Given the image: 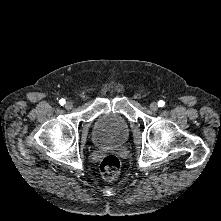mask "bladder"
<instances>
[{
  "label": "bladder",
  "instance_id": "bladder-1",
  "mask_svg": "<svg viewBox=\"0 0 221 221\" xmlns=\"http://www.w3.org/2000/svg\"><path fill=\"white\" fill-rule=\"evenodd\" d=\"M130 134L128 123L115 115H103L94 124L92 138L98 146L124 143Z\"/></svg>",
  "mask_w": 221,
  "mask_h": 221
}]
</instances>
